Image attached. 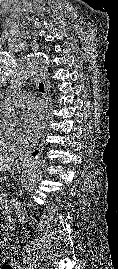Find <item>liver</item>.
<instances>
[{
  "mask_svg": "<svg viewBox=\"0 0 118 269\" xmlns=\"http://www.w3.org/2000/svg\"><path fill=\"white\" fill-rule=\"evenodd\" d=\"M18 163L17 160L12 158L0 157V171L11 170Z\"/></svg>",
  "mask_w": 118,
  "mask_h": 269,
  "instance_id": "1",
  "label": "liver"
}]
</instances>
